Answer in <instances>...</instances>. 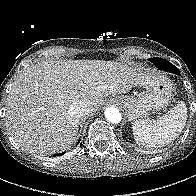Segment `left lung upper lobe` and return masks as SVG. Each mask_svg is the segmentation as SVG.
<instances>
[{
	"instance_id": "left-lung-upper-lobe-1",
	"label": "left lung upper lobe",
	"mask_w": 196,
	"mask_h": 196,
	"mask_svg": "<svg viewBox=\"0 0 196 196\" xmlns=\"http://www.w3.org/2000/svg\"><path fill=\"white\" fill-rule=\"evenodd\" d=\"M152 63L155 64V66L158 67V69L167 71L170 73L177 74L179 72L178 68L174 66L173 64L169 63L167 60H164L162 58H151L149 59Z\"/></svg>"
}]
</instances>
